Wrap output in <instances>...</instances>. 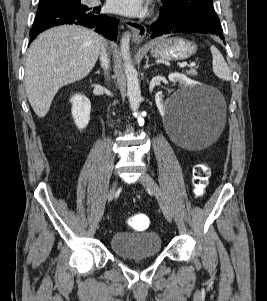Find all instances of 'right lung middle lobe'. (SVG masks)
<instances>
[{"label": "right lung middle lobe", "instance_id": "1", "mask_svg": "<svg viewBox=\"0 0 267 301\" xmlns=\"http://www.w3.org/2000/svg\"><path fill=\"white\" fill-rule=\"evenodd\" d=\"M74 5H82L81 0H40L37 14H42L66 6Z\"/></svg>", "mask_w": 267, "mask_h": 301}]
</instances>
